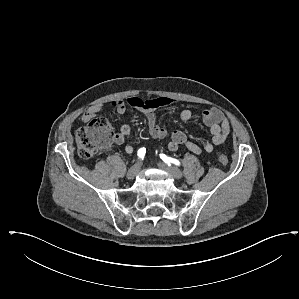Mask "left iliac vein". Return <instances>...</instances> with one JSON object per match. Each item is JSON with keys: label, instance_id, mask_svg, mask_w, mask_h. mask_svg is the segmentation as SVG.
<instances>
[{"label": "left iliac vein", "instance_id": "1", "mask_svg": "<svg viewBox=\"0 0 299 299\" xmlns=\"http://www.w3.org/2000/svg\"><path fill=\"white\" fill-rule=\"evenodd\" d=\"M158 167L168 172L175 179H181L183 176L182 172L176 167H172L164 163H158Z\"/></svg>", "mask_w": 299, "mask_h": 299}]
</instances>
